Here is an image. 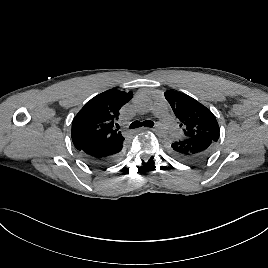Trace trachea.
Instances as JSON below:
<instances>
[{
  "label": "trachea",
  "mask_w": 268,
  "mask_h": 268,
  "mask_svg": "<svg viewBox=\"0 0 268 268\" xmlns=\"http://www.w3.org/2000/svg\"><path fill=\"white\" fill-rule=\"evenodd\" d=\"M142 126H147V127H153L154 126V122L150 121V120H146L143 122L140 121H134L131 125L130 128L134 129V128H138V127H142Z\"/></svg>",
  "instance_id": "obj_1"
}]
</instances>
